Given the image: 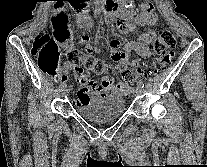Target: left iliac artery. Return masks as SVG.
<instances>
[{
  "label": "left iliac artery",
  "mask_w": 207,
  "mask_h": 167,
  "mask_svg": "<svg viewBox=\"0 0 207 167\" xmlns=\"http://www.w3.org/2000/svg\"><path fill=\"white\" fill-rule=\"evenodd\" d=\"M137 85L144 88V82L142 80H139Z\"/></svg>",
  "instance_id": "left-iliac-artery-1"
}]
</instances>
